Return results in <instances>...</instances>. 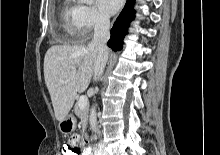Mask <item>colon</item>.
<instances>
[{
    "label": "colon",
    "instance_id": "5ec220e1",
    "mask_svg": "<svg viewBox=\"0 0 220 155\" xmlns=\"http://www.w3.org/2000/svg\"><path fill=\"white\" fill-rule=\"evenodd\" d=\"M86 145H66L65 143L62 146V155H81V149Z\"/></svg>",
    "mask_w": 220,
    "mask_h": 155
}]
</instances>
